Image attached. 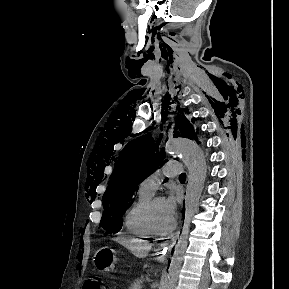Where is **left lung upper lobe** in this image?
<instances>
[{
	"mask_svg": "<svg viewBox=\"0 0 289 289\" xmlns=\"http://www.w3.org/2000/svg\"><path fill=\"white\" fill-rule=\"evenodd\" d=\"M161 137L154 142L148 133L131 141L123 149L103 195L104 212L100 226L106 230V234L121 230L122 216L134 201L137 185L165 162V152L159 150ZM174 137L197 141L193 126L187 119H183L175 128Z\"/></svg>",
	"mask_w": 289,
	"mask_h": 289,
	"instance_id": "obj_1",
	"label": "left lung upper lobe"
}]
</instances>
